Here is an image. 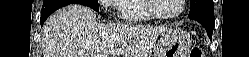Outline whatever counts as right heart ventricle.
Listing matches in <instances>:
<instances>
[{
    "mask_svg": "<svg viewBox=\"0 0 249 57\" xmlns=\"http://www.w3.org/2000/svg\"><path fill=\"white\" fill-rule=\"evenodd\" d=\"M119 10L123 19L129 21H146L153 18L146 9L145 0H122Z\"/></svg>",
    "mask_w": 249,
    "mask_h": 57,
    "instance_id": "right-heart-ventricle-1",
    "label": "right heart ventricle"
}]
</instances>
